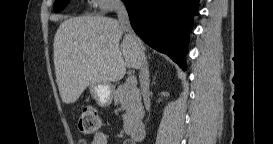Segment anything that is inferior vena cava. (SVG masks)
<instances>
[{
  "label": "inferior vena cava",
  "instance_id": "obj_1",
  "mask_svg": "<svg viewBox=\"0 0 273 144\" xmlns=\"http://www.w3.org/2000/svg\"><path fill=\"white\" fill-rule=\"evenodd\" d=\"M116 12L118 16V21L120 26L124 31L127 32L132 38L134 51L138 57V61L140 63V72H139V80L143 95L144 105L147 111H150V92H149V69L148 63L146 61V57L144 54V46L142 41L135 35L132 27L130 25L128 12L124 3L120 0L116 1Z\"/></svg>",
  "mask_w": 273,
  "mask_h": 144
}]
</instances>
